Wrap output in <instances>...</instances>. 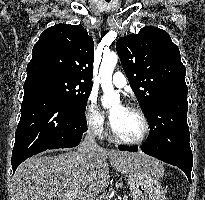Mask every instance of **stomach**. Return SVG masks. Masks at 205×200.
Wrapping results in <instances>:
<instances>
[{
	"mask_svg": "<svg viewBox=\"0 0 205 200\" xmlns=\"http://www.w3.org/2000/svg\"><path fill=\"white\" fill-rule=\"evenodd\" d=\"M161 170V165L154 167ZM133 200H166L165 192L151 171L137 170L127 176Z\"/></svg>",
	"mask_w": 205,
	"mask_h": 200,
	"instance_id": "obj_1",
	"label": "stomach"
}]
</instances>
